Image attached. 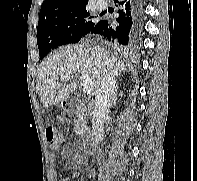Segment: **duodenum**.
Returning a JSON list of instances; mask_svg holds the SVG:
<instances>
[{
	"mask_svg": "<svg viewBox=\"0 0 197 181\" xmlns=\"http://www.w3.org/2000/svg\"><path fill=\"white\" fill-rule=\"evenodd\" d=\"M66 109L71 113H78L84 110V106L80 101L71 99L66 102ZM87 151L89 154L93 153V150L91 147H88Z\"/></svg>",
	"mask_w": 197,
	"mask_h": 181,
	"instance_id": "duodenum-1",
	"label": "duodenum"
}]
</instances>
